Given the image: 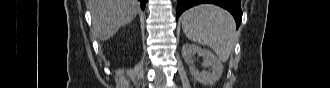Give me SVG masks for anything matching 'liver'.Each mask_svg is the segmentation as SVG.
<instances>
[{"label":"liver","instance_id":"1","mask_svg":"<svg viewBox=\"0 0 330 88\" xmlns=\"http://www.w3.org/2000/svg\"><path fill=\"white\" fill-rule=\"evenodd\" d=\"M93 33L101 41L112 37L130 23L139 11L137 0H89Z\"/></svg>","mask_w":330,"mask_h":88}]
</instances>
